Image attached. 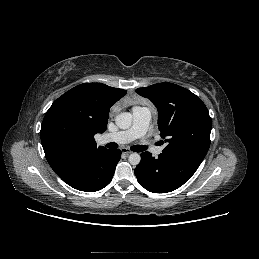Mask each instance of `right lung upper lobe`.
Wrapping results in <instances>:
<instances>
[{"label": "right lung upper lobe", "instance_id": "right-lung-upper-lobe-1", "mask_svg": "<svg viewBox=\"0 0 259 259\" xmlns=\"http://www.w3.org/2000/svg\"><path fill=\"white\" fill-rule=\"evenodd\" d=\"M127 92L102 83H83L58 98L46 112L41 126V142L46 159L54 171L76 158L106 150L97 148L94 135L107 128L110 107ZM53 126L70 133L67 141L49 137Z\"/></svg>", "mask_w": 259, "mask_h": 259}]
</instances>
